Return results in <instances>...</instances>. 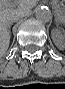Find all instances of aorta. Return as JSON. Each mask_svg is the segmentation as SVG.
Wrapping results in <instances>:
<instances>
[{
  "label": "aorta",
  "instance_id": "1",
  "mask_svg": "<svg viewBox=\"0 0 65 89\" xmlns=\"http://www.w3.org/2000/svg\"><path fill=\"white\" fill-rule=\"evenodd\" d=\"M35 18L41 23H48L52 18L51 10L47 6H39L35 9Z\"/></svg>",
  "mask_w": 65,
  "mask_h": 89
}]
</instances>
